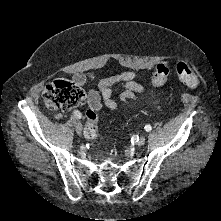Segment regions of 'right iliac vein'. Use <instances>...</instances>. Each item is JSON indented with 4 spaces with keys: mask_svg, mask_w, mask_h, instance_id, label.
Returning <instances> with one entry per match:
<instances>
[{
    "mask_svg": "<svg viewBox=\"0 0 221 221\" xmlns=\"http://www.w3.org/2000/svg\"><path fill=\"white\" fill-rule=\"evenodd\" d=\"M75 127H76V132H77L79 135H81V134H82V129H83L82 124H81L79 121H77Z\"/></svg>",
    "mask_w": 221,
    "mask_h": 221,
    "instance_id": "right-iliac-vein-1",
    "label": "right iliac vein"
}]
</instances>
